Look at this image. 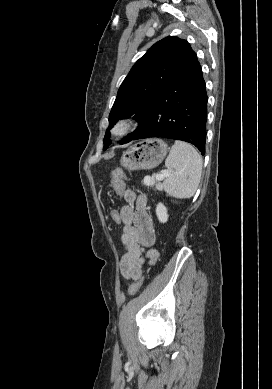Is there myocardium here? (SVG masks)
<instances>
[{
    "instance_id": "f54148a6",
    "label": "myocardium",
    "mask_w": 272,
    "mask_h": 389,
    "mask_svg": "<svg viewBox=\"0 0 272 389\" xmlns=\"http://www.w3.org/2000/svg\"><path fill=\"white\" fill-rule=\"evenodd\" d=\"M136 120L132 117L118 119L111 128V135L115 138H123L130 134L135 128Z\"/></svg>"
}]
</instances>
